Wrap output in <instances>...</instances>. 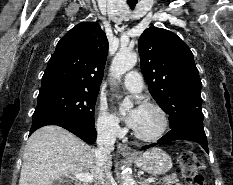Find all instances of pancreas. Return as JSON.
<instances>
[{
	"mask_svg": "<svg viewBox=\"0 0 233 185\" xmlns=\"http://www.w3.org/2000/svg\"><path fill=\"white\" fill-rule=\"evenodd\" d=\"M179 178L177 175L165 176L160 179L159 185H178Z\"/></svg>",
	"mask_w": 233,
	"mask_h": 185,
	"instance_id": "cf45deb5",
	"label": "pancreas"
}]
</instances>
